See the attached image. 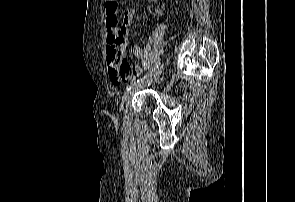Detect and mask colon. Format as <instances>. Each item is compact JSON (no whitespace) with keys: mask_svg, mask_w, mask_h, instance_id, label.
<instances>
[{"mask_svg":"<svg viewBox=\"0 0 295 202\" xmlns=\"http://www.w3.org/2000/svg\"><path fill=\"white\" fill-rule=\"evenodd\" d=\"M118 8H119L118 0L106 1V11L107 13H110L112 15V18L108 19L107 21V27L109 31L108 38L110 43H112V47H115L119 42V38L117 34L115 33V31H113V29L119 26V18L117 15ZM118 76H124V75H118Z\"/></svg>","mask_w":295,"mask_h":202,"instance_id":"5ec220e1","label":"colon"}]
</instances>
